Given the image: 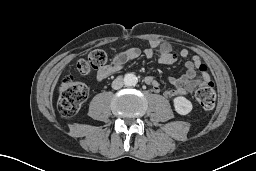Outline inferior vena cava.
Returning a JSON list of instances; mask_svg holds the SVG:
<instances>
[{
  "mask_svg": "<svg viewBox=\"0 0 256 171\" xmlns=\"http://www.w3.org/2000/svg\"><path fill=\"white\" fill-rule=\"evenodd\" d=\"M124 84V81L121 77H117L113 82H112V88L115 90H118L122 88Z\"/></svg>",
  "mask_w": 256,
  "mask_h": 171,
  "instance_id": "inferior-vena-cava-1",
  "label": "inferior vena cava"
}]
</instances>
